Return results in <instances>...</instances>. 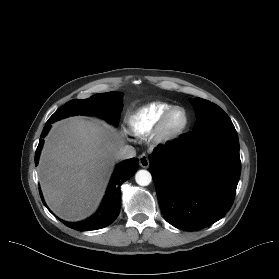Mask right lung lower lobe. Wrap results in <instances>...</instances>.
I'll return each mask as SVG.
<instances>
[{"mask_svg": "<svg viewBox=\"0 0 279 279\" xmlns=\"http://www.w3.org/2000/svg\"><path fill=\"white\" fill-rule=\"evenodd\" d=\"M49 129H50V124H46V126L43 128V131L41 133V138L35 154L36 166L38 164L40 151L44 143L43 138L45 137ZM138 165H139V160L136 158H132L121 162L117 166L115 173L109 184L104 201L97 214H95L94 216H92L87 220L78 223H69L62 220L61 221L68 227L79 231L101 229L110 225L117 218L120 211V206H121L120 186L135 174V172L138 169ZM39 192H40L41 199L44 205L46 206L42 197V193L40 190Z\"/></svg>", "mask_w": 279, "mask_h": 279, "instance_id": "1", "label": "right lung lower lobe"}]
</instances>
